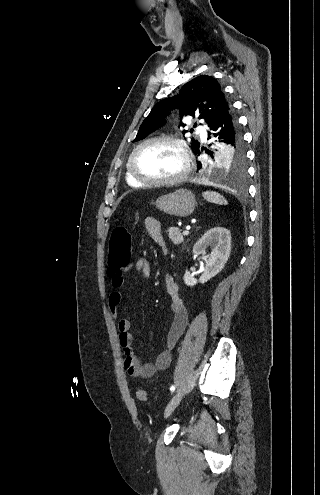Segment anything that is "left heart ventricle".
<instances>
[{"label": "left heart ventricle", "mask_w": 320, "mask_h": 495, "mask_svg": "<svg viewBox=\"0 0 320 495\" xmlns=\"http://www.w3.org/2000/svg\"><path fill=\"white\" fill-rule=\"evenodd\" d=\"M135 167L149 179H168L183 168V158L176 146L168 142H154L143 147L136 155Z\"/></svg>", "instance_id": "b2bd125f"}]
</instances>
